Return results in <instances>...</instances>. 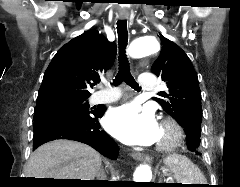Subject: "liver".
I'll return each mask as SVG.
<instances>
[{"label":"liver","mask_w":240,"mask_h":187,"mask_svg":"<svg viewBox=\"0 0 240 187\" xmlns=\"http://www.w3.org/2000/svg\"><path fill=\"white\" fill-rule=\"evenodd\" d=\"M100 154L72 140H55L37 148L27 164V178L94 180L101 170Z\"/></svg>","instance_id":"liver-1"}]
</instances>
